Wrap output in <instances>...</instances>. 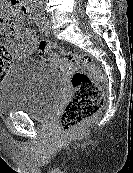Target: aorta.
<instances>
[{
  "label": "aorta",
  "mask_w": 133,
  "mask_h": 173,
  "mask_svg": "<svg viewBox=\"0 0 133 173\" xmlns=\"http://www.w3.org/2000/svg\"><path fill=\"white\" fill-rule=\"evenodd\" d=\"M31 1L35 3H41L42 0H31Z\"/></svg>",
  "instance_id": "obj_1"
}]
</instances>
